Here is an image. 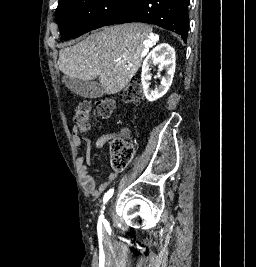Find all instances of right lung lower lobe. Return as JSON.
I'll list each match as a JSON object with an SVG mask.
<instances>
[{
	"mask_svg": "<svg viewBox=\"0 0 256 267\" xmlns=\"http://www.w3.org/2000/svg\"><path fill=\"white\" fill-rule=\"evenodd\" d=\"M188 5L189 0H138L129 14L117 16L104 26L127 22L151 23L174 31L187 42Z\"/></svg>",
	"mask_w": 256,
	"mask_h": 267,
	"instance_id": "obj_1",
	"label": "right lung lower lobe"
}]
</instances>
